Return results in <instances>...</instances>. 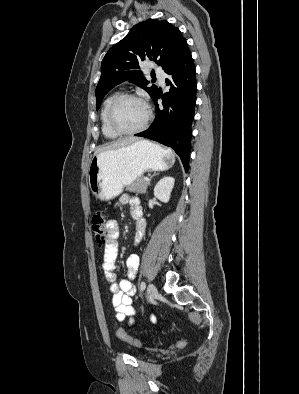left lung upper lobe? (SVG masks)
<instances>
[{"instance_id":"5c2ea615","label":"left lung upper lobe","mask_w":299,"mask_h":394,"mask_svg":"<svg viewBox=\"0 0 299 394\" xmlns=\"http://www.w3.org/2000/svg\"><path fill=\"white\" fill-rule=\"evenodd\" d=\"M187 45L178 28L165 20L149 19L137 24L128 35L107 52L101 64V77L96 87L98 110L103 97L117 84L129 80L153 98L157 87H147L140 63L155 61L165 70Z\"/></svg>"}]
</instances>
